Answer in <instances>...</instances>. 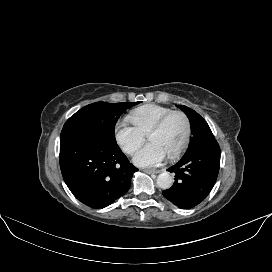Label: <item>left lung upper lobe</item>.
Returning <instances> with one entry per match:
<instances>
[{
	"label": "left lung upper lobe",
	"mask_w": 272,
	"mask_h": 272,
	"mask_svg": "<svg viewBox=\"0 0 272 272\" xmlns=\"http://www.w3.org/2000/svg\"><path fill=\"white\" fill-rule=\"evenodd\" d=\"M177 106L186 113L191 124V132L193 136L190 140L187 151L215 140L210 127L197 112L187 106Z\"/></svg>",
	"instance_id": "5c2ea615"
}]
</instances>
